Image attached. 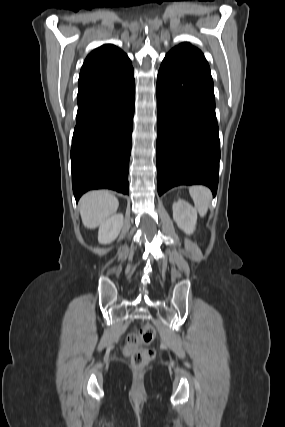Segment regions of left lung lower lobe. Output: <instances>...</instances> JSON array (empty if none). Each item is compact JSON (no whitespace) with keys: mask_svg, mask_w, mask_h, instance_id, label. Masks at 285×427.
<instances>
[{"mask_svg":"<svg viewBox=\"0 0 285 427\" xmlns=\"http://www.w3.org/2000/svg\"><path fill=\"white\" fill-rule=\"evenodd\" d=\"M158 193L204 184L217 192L220 160L211 74L167 54L157 76Z\"/></svg>","mask_w":285,"mask_h":427,"instance_id":"obj_1","label":"left lung lower lobe"}]
</instances>
